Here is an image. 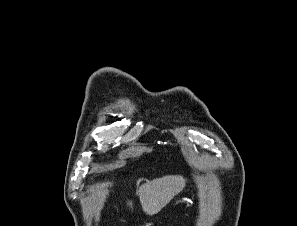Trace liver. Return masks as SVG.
Here are the masks:
<instances>
[{
  "instance_id": "6515ba94",
  "label": "liver",
  "mask_w": 297,
  "mask_h": 226,
  "mask_svg": "<svg viewBox=\"0 0 297 226\" xmlns=\"http://www.w3.org/2000/svg\"><path fill=\"white\" fill-rule=\"evenodd\" d=\"M185 186L182 176L167 175L147 181L138 191L143 211L154 215L161 211ZM132 207V201L128 202Z\"/></svg>"
}]
</instances>
